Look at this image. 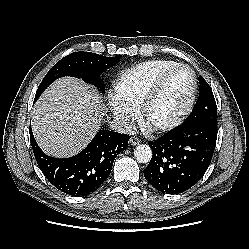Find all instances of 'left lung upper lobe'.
Segmentation results:
<instances>
[{
	"mask_svg": "<svg viewBox=\"0 0 249 249\" xmlns=\"http://www.w3.org/2000/svg\"><path fill=\"white\" fill-rule=\"evenodd\" d=\"M208 124L217 126V106L209 84L200 77V96L183 125Z\"/></svg>",
	"mask_w": 249,
	"mask_h": 249,
	"instance_id": "left-lung-upper-lobe-1",
	"label": "left lung upper lobe"
}]
</instances>
